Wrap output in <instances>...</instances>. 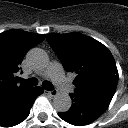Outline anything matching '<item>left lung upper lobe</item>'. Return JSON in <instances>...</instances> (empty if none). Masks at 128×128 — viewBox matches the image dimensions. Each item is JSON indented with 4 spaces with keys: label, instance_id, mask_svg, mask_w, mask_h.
<instances>
[{
    "label": "left lung upper lobe",
    "instance_id": "obj_1",
    "mask_svg": "<svg viewBox=\"0 0 128 128\" xmlns=\"http://www.w3.org/2000/svg\"><path fill=\"white\" fill-rule=\"evenodd\" d=\"M46 39L65 70L77 73L75 94L113 97L118 71L106 46L79 33L47 34Z\"/></svg>",
    "mask_w": 128,
    "mask_h": 128
}]
</instances>
